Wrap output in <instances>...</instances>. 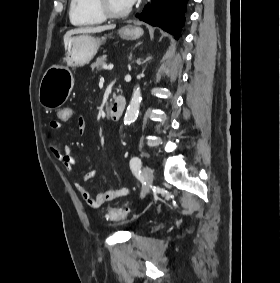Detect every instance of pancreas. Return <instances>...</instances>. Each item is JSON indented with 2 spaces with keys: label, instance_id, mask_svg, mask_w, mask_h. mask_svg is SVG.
Segmentation results:
<instances>
[{
  "label": "pancreas",
  "instance_id": "1",
  "mask_svg": "<svg viewBox=\"0 0 280 283\" xmlns=\"http://www.w3.org/2000/svg\"><path fill=\"white\" fill-rule=\"evenodd\" d=\"M106 65V56H102L96 59L94 63H92L91 68L92 70L96 69V71H101L104 69Z\"/></svg>",
  "mask_w": 280,
  "mask_h": 283
}]
</instances>
